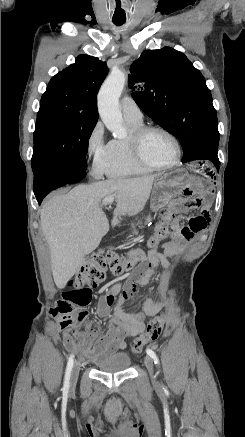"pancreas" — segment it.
<instances>
[{"mask_svg": "<svg viewBox=\"0 0 245 437\" xmlns=\"http://www.w3.org/2000/svg\"><path fill=\"white\" fill-rule=\"evenodd\" d=\"M149 220H150V217L147 218V221H149Z\"/></svg>", "mask_w": 245, "mask_h": 437, "instance_id": "1", "label": "pancreas"}]
</instances>
